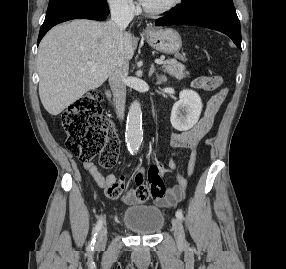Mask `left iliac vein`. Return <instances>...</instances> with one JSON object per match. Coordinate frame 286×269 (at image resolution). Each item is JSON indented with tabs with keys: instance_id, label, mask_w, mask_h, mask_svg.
Here are the masks:
<instances>
[{
	"instance_id": "left-iliac-vein-1",
	"label": "left iliac vein",
	"mask_w": 286,
	"mask_h": 269,
	"mask_svg": "<svg viewBox=\"0 0 286 269\" xmlns=\"http://www.w3.org/2000/svg\"><path fill=\"white\" fill-rule=\"evenodd\" d=\"M172 228L174 231V236L178 245H185V233L183 229V225L178 218L172 219Z\"/></svg>"
}]
</instances>
